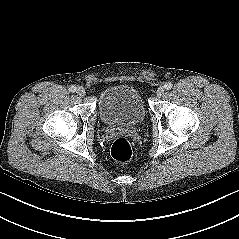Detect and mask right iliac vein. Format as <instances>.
I'll list each match as a JSON object with an SVG mask.
<instances>
[{
    "instance_id": "right-iliac-vein-1",
    "label": "right iliac vein",
    "mask_w": 239,
    "mask_h": 239,
    "mask_svg": "<svg viewBox=\"0 0 239 239\" xmlns=\"http://www.w3.org/2000/svg\"><path fill=\"white\" fill-rule=\"evenodd\" d=\"M77 93L80 96H84L85 95V89L83 87H78L77 88Z\"/></svg>"
}]
</instances>
